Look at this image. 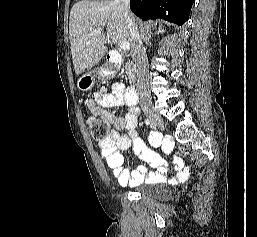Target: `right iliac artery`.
Instances as JSON below:
<instances>
[{
    "mask_svg": "<svg viewBox=\"0 0 257 237\" xmlns=\"http://www.w3.org/2000/svg\"><path fill=\"white\" fill-rule=\"evenodd\" d=\"M145 123H146V125H150L151 124L149 119H146ZM152 133H153V135H158L156 132H152Z\"/></svg>",
    "mask_w": 257,
    "mask_h": 237,
    "instance_id": "right-iliac-artery-1",
    "label": "right iliac artery"
}]
</instances>
